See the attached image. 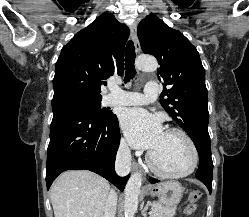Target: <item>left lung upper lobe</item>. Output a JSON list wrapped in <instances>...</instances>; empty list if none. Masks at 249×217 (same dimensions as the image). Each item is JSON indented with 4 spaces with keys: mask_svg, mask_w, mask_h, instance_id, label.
<instances>
[{
    "mask_svg": "<svg viewBox=\"0 0 249 217\" xmlns=\"http://www.w3.org/2000/svg\"><path fill=\"white\" fill-rule=\"evenodd\" d=\"M137 32L143 52L155 56L160 64L158 73L164 87L161 105L195 146L201 138L210 142L205 70L197 49L154 14L138 25Z\"/></svg>",
    "mask_w": 249,
    "mask_h": 217,
    "instance_id": "obj_1",
    "label": "left lung upper lobe"
}]
</instances>
